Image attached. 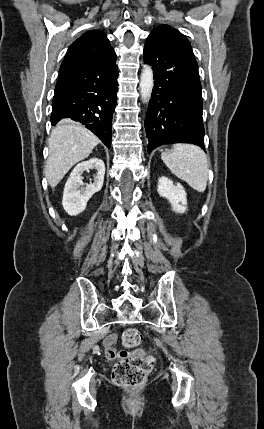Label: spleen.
Here are the masks:
<instances>
[{
	"label": "spleen",
	"instance_id": "spleen-1",
	"mask_svg": "<svg viewBox=\"0 0 264 429\" xmlns=\"http://www.w3.org/2000/svg\"><path fill=\"white\" fill-rule=\"evenodd\" d=\"M161 159L179 179L198 192H204L208 181L209 163L204 151L193 144L177 143L173 150L163 152Z\"/></svg>",
	"mask_w": 264,
	"mask_h": 429
}]
</instances>
